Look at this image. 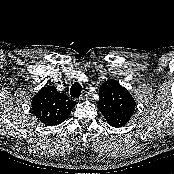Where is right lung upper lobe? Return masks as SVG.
Masks as SVG:
<instances>
[{"label":"right lung upper lobe","instance_id":"1","mask_svg":"<svg viewBox=\"0 0 174 174\" xmlns=\"http://www.w3.org/2000/svg\"><path fill=\"white\" fill-rule=\"evenodd\" d=\"M76 102L59 93L55 86L43 87L31 102L32 112L45 125L61 124L71 113Z\"/></svg>","mask_w":174,"mask_h":174}]
</instances>
